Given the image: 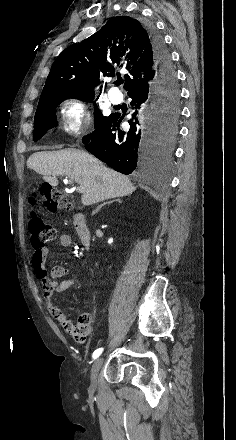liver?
Instances as JSON below:
<instances>
[{"label": "liver", "mask_w": 236, "mask_h": 440, "mask_svg": "<svg viewBox=\"0 0 236 440\" xmlns=\"http://www.w3.org/2000/svg\"><path fill=\"white\" fill-rule=\"evenodd\" d=\"M27 166L43 175L44 180L52 186L58 185V176L78 183L83 191L81 201L85 206L123 197L136 190L127 176L105 167L82 150L36 152L28 158Z\"/></svg>", "instance_id": "liver-1"}]
</instances>
